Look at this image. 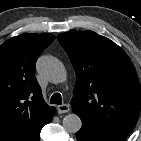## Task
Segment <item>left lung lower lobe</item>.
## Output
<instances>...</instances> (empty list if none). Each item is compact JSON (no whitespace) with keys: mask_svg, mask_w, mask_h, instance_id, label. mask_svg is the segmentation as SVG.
<instances>
[{"mask_svg":"<svg viewBox=\"0 0 141 141\" xmlns=\"http://www.w3.org/2000/svg\"><path fill=\"white\" fill-rule=\"evenodd\" d=\"M78 141H125L126 138L106 134L96 128L82 123V128L76 133Z\"/></svg>","mask_w":141,"mask_h":141,"instance_id":"obj_1","label":"left lung lower lobe"}]
</instances>
